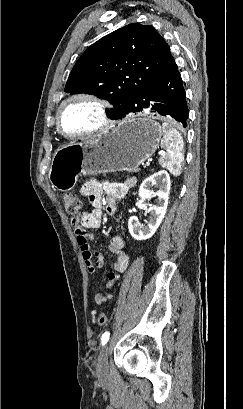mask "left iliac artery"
<instances>
[{
    "mask_svg": "<svg viewBox=\"0 0 243 409\" xmlns=\"http://www.w3.org/2000/svg\"><path fill=\"white\" fill-rule=\"evenodd\" d=\"M109 336H110V333H109V332H105V333L102 335V338H101V344H102V346H104V345L108 342Z\"/></svg>",
    "mask_w": 243,
    "mask_h": 409,
    "instance_id": "obj_1",
    "label": "left iliac artery"
}]
</instances>
